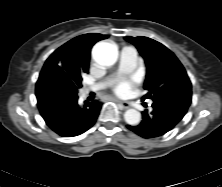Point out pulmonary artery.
Instances as JSON below:
<instances>
[{
    "label": "pulmonary artery",
    "instance_id": "e3ab8cb5",
    "mask_svg": "<svg viewBox=\"0 0 222 187\" xmlns=\"http://www.w3.org/2000/svg\"><path fill=\"white\" fill-rule=\"evenodd\" d=\"M137 63V53L136 50L130 46H125L120 52V72L130 73L136 66ZM107 80L101 81L91 87H86L83 90L84 94L89 91H97L106 86Z\"/></svg>",
    "mask_w": 222,
    "mask_h": 187
}]
</instances>
